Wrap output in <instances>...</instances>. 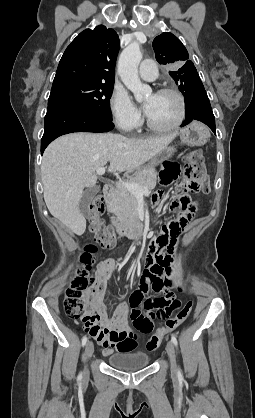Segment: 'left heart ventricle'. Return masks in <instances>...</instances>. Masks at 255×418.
<instances>
[{
    "instance_id": "1",
    "label": "left heart ventricle",
    "mask_w": 255,
    "mask_h": 418,
    "mask_svg": "<svg viewBox=\"0 0 255 418\" xmlns=\"http://www.w3.org/2000/svg\"><path fill=\"white\" fill-rule=\"evenodd\" d=\"M145 102L151 103L147 116L155 125L168 126L178 118L180 105L174 95L151 94L147 96Z\"/></svg>"
}]
</instances>
